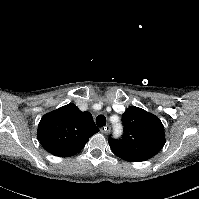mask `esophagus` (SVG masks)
<instances>
[{
	"label": "esophagus",
	"instance_id": "34e87169",
	"mask_svg": "<svg viewBox=\"0 0 199 199\" xmlns=\"http://www.w3.org/2000/svg\"><path fill=\"white\" fill-rule=\"evenodd\" d=\"M110 130H111V128H110V126H104V127H102L101 129H100V131H101V133H103V134H108L109 132H110Z\"/></svg>",
	"mask_w": 199,
	"mask_h": 199
}]
</instances>
